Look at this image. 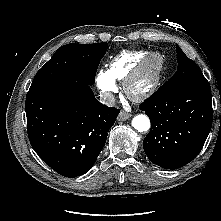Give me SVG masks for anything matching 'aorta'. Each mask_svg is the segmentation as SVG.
<instances>
[{
	"label": "aorta",
	"mask_w": 221,
	"mask_h": 221,
	"mask_svg": "<svg viewBox=\"0 0 221 221\" xmlns=\"http://www.w3.org/2000/svg\"><path fill=\"white\" fill-rule=\"evenodd\" d=\"M132 126L139 132H145L150 128V120L146 115L139 114L133 118Z\"/></svg>",
	"instance_id": "1"
}]
</instances>
